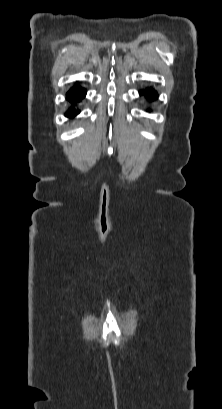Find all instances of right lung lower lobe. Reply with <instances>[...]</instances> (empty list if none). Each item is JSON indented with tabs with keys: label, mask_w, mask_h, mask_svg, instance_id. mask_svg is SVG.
<instances>
[{
	"label": "right lung lower lobe",
	"mask_w": 222,
	"mask_h": 409,
	"mask_svg": "<svg viewBox=\"0 0 222 409\" xmlns=\"http://www.w3.org/2000/svg\"><path fill=\"white\" fill-rule=\"evenodd\" d=\"M86 94V90L77 86L72 88L68 93H67V98L68 100L72 103L75 104L76 102L80 101L81 99L84 98ZM79 113V111L75 110L74 108L71 107V109H69V111L66 113L67 117H74L75 115H77Z\"/></svg>",
	"instance_id": "98d812e1"
}]
</instances>
